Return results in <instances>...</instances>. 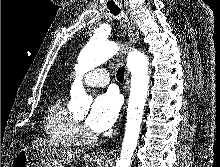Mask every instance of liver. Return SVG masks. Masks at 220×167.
<instances>
[{
  "instance_id": "6515ba94",
  "label": "liver",
  "mask_w": 220,
  "mask_h": 167,
  "mask_svg": "<svg viewBox=\"0 0 220 167\" xmlns=\"http://www.w3.org/2000/svg\"><path fill=\"white\" fill-rule=\"evenodd\" d=\"M30 149L38 152L43 161H52L55 163H60L62 165L76 162L81 156V151L78 149L61 147L53 140L43 138H36L32 142V147Z\"/></svg>"
}]
</instances>
